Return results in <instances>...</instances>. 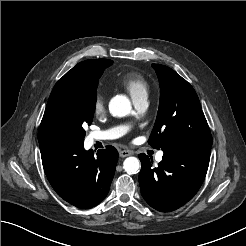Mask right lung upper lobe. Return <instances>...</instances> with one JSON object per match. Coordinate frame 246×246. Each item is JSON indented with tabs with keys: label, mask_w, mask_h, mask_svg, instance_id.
<instances>
[{
	"label": "right lung upper lobe",
	"mask_w": 246,
	"mask_h": 246,
	"mask_svg": "<svg viewBox=\"0 0 246 246\" xmlns=\"http://www.w3.org/2000/svg\"><path fill=\"white\" fill-rule=\"evenodd\" d=\"M101 60L103 59L86 60L78 63L56 83L49 97L45 113L41 121L38 132L39 141L50 136L48 132V123L51 119L54 101L57 96L60 95L62 92L68 91L83 82L91 66Z\"/></svg>",
	"instance_id": "right-lung-upper-lobe-1"
}]
</instances>
